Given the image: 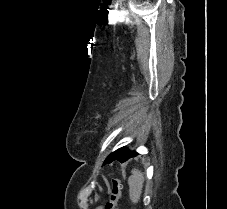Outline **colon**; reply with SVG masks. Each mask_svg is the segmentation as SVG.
Here are the masks:
<instances>
[{"mask_svg": "<svg viewBox=\"0 0 227 209\" xmlns=\"http://www.w3.org/2000/svg\"><path fill=\"white\" fill-rule=\"evenodd\" d=\"M121 182L117 178H113L109 185V198L103 209H119L118 203L121 195Z\"/></svg>", "mask_w": 227, "mask_h": 209, "instance_id": "obj_1", "label": "colon"}]
</instances>
